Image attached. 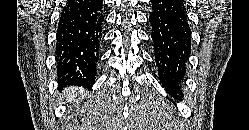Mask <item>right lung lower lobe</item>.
Instances as JSON below:
<instances>
[{
  "instance_id": "right-lung-lower-lobe-1",
  "label": "right lung lower lobe",
  "mask_w": 249,
  "mask_h": 130,
  "mask_svg": "<svg viewBox=\"0 0 249 130\" xmlns=\"http://www.w3.org/2000/svg\"><path fill=\"white\" fill-rule=\"evenodd\" d=\"M103 11L102 0H70L63 7L55 51L60 84L88 87L95 82Z\"/></svg>"
}]
</instances>
